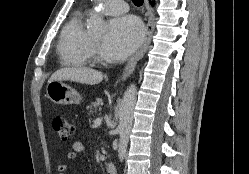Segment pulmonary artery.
<instances>
[{"mask_svg": "<svg viewBox=\"0 0 249 174\" xmlns=\"http://www.w3.org/2000/svg\"><path fill=\"white\" fill-rule=\"evenodd\" d=\"M100 9L107 14L119 15L128 11V5L124 0H104Z\"/></svg>", "mask_w": 249, "mask_h": 174, "instance_id": "1", "label": "pulmonary artery"}]
</instances>
